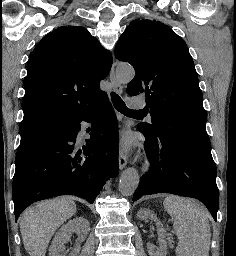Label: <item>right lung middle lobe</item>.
<instances>
[{"mask_svg":"<svg viewBox=\"0 0 236 256\" xmlns=\"http://www.w3.org/2000/svg\"><path fill=\"white\" fill-rule=\"evenodd\" d=\"M69 119H63L56 116H42L23 120L20 126L21 143L29 141L44 132L68 122Z\"/></svg>","mask_w":236,"mask_h":256,"instance_id":"1","label":"right lung middle lobe"}]
</instances>
